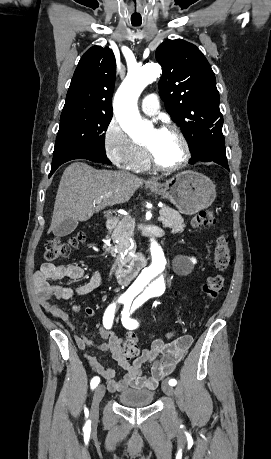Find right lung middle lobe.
I'll list each match as a JSON object with an SVG mask.
<instances>
[{
	"instance_id": "right-lung-middle-lobe-1",
	"label": "right lung middle lobe",
	"mask_w": 271,
	"mask_h": 459,
	"mask_svg": "<svg viewBox=\"0 0 271 459\" xmlns=\"http://www.w3.org/2000/svg\"><path fill=\"white\" fill-rule=\"evenodd\" d=\"M112 114L62 113L53 155L69 149L104 151L105 133Z\"/></svg>"
}]
</instances>
